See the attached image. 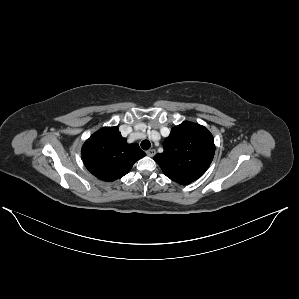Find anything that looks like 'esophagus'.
I'll use <instances>...</instances> for the list:
<instances>
[{"mask_svg":"<svg viewBox=\"0 0 299 299\" xmlns=\"http://www.w3.org/2000/svg\"><path fill=\"white\" fill-rule=\"evenodd\" d=\"M155 153H156V151H155V149H149L147 152H146V154L148 155V156H150V157H153L154 155H155Z\"/></svg>","mask_w":299,"mask_h":299,"instance_id":"obj_1","label":"esophagus"}]
</instances>
